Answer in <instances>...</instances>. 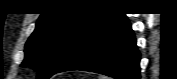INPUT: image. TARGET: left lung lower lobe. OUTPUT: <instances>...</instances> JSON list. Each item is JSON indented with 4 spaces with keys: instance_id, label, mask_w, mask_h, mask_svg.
<instances>
[{
    "instance_id": "obj_1",
    "label": "left lung lower lobe",
    "mask_w": 177,
    "mask_h": 79,
    "mask_svg": "<svg viewBox=\"0 0 177 79\" xmlns=\"http://www.w3.org/2000/svg\"><path fill=\"white\" fill-rule=\"evenodd\" d=\"M140 54L127 17L107 14L75 46L56 73L83 70L115 79H139Z\"/></svg>"
}]
</instances>
